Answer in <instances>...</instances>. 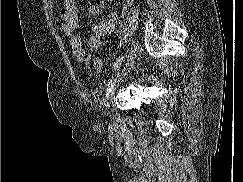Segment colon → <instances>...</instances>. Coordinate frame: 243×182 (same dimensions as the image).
Returning a JSON list of instances; mask_svg holds the SVG:
<instances>
[{
    "label": "colon",
    "instance_id": "colon-1",
    "mask_svg": "<svg viewBox=\"0 0 243 182\" xmlns=\"http://www.w3.org/2000/svg\"><path fill=\"white\" fill-rule=\"evenodd\" d=\"M89 67L94 70L96 73H101L104 69L103 60L99 57H95L90 60Z\"/></svg>",
    "mask_w": 243,
    "mask_h": 182
}]
</instances>
